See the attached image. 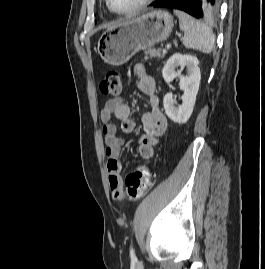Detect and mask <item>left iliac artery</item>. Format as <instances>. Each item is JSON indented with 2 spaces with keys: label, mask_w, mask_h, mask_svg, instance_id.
Returning a JSON list of instances; mask_svg holds the SVG:
<instances>
[{
  "label": "left iliac artery",
  "mask_w": 265,
  "mask_h": 269,
  "mask_svg": "<svg viewBox=\"0 0 265 269\" xmlns=\"http://www.w3.org/2000/svg\"><path fill=\"white\" fill-rule=\"evenodd\" d=\"M130 255H131V259H132V260H137L135 254H134V250H133L132 247L130 248Z\"/></svg>",
  "instance_id": "left-iliac-artery-1"
}]
</instances>
